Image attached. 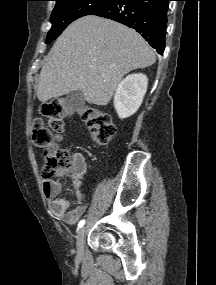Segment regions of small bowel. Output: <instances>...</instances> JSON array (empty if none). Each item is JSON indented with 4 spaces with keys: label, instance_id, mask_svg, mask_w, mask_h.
<instances>
[{
    "label": "small bowel",
    "instance_id": "obj_1",
    "mask_svg": "<svg viewBox=\"0 0 216 285\" xmlns=\"http://www.w3.org/2000/svg\"><path fill=\"white\" fill-rule=\"evenodd\" d=\"M56 145L51 146L50 152L56 150ZM87 164L81 154H76L72 160L71 178L75 194V204L64 198H59L61 184L57 181L46 179L43 182V191L49 200L52 214L69 225H74L87 208L85 195L81 190L82 178L86 172Z\"/></svg>",
    "mask_w": 216,
    "mask_h": 285
}]
</instances>
